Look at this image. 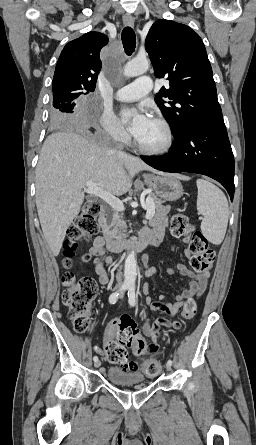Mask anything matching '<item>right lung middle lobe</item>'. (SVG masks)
I'll return each mask as SVG.
<instances>
[{
  "instance_id": "obj_1",
  "label": "right lung middle lobe",
  "mask_w": 256,
  "mask_h": 445,
  "mask_svg": "<svg viewBox=\"0 0 256 445\" xmlns=\"http://www.w3.org/2000/svg\"><path fill=\"white\" fill-rule=\"evenodd\" d=\"M83 94L77 92H61L53 94V106L50 110V119L54 125L71 124L75 121L76 101Z\"/></svg>"
}]
</instances>
